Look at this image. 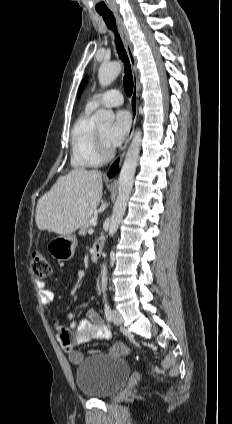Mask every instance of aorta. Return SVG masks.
<instances>
[{"instance_id": "762f6f07", "label": "aorta", "mask_w": 232, "mask_h": 424, "mask_svg": "<svg viewBox=\"0 0 232 424\" xmlns=\"http://www.w3.org/2000/svg\"><path fill=\"white\" fill-rule=\"evenodd\" d=\"M122 70V65L119 62H111L102 64L98 71V79L101 86H108L111 84ZM94 121L98 125H111L115 119V115L111 110L100 109L94 115ZM141 149V131L136 130L130 146L127 150L125 160L119 175L118 196L116 203L113 207V213L109 223V235L113 236L119 227L126 211L127 202L129 200L134 175L139 159ZM107 267L106 264L101 268V289L103 292L107 288Z\"/></svg>"}]
</instances>
